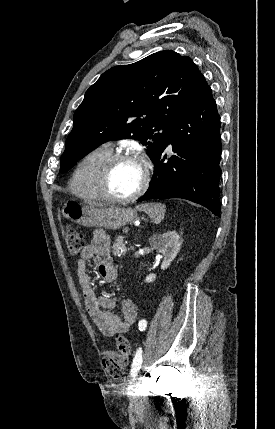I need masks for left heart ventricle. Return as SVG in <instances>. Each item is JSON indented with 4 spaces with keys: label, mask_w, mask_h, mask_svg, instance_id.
I'll return each mask as SVG.
<instances>
[{
    "label": "left heart ventricle",
    "mask_w": 275,
    "mask_h": 429,
    "mask_svg": "<svg viewBox=\"0 0 275 429\" xmlns=\"http://www.w3.org/2000/svg\"><path fill=\"white\" fill-rule=\"evenodd\" d=\"M142 178V165L135 160H125L117 163L113 168L108 189L115 196L126 197L138 189Z\"/></svg>",
    "instance_id": "left-heart-ventricle-1"
}]
</instances>
